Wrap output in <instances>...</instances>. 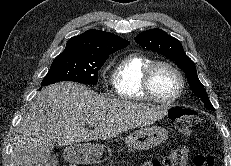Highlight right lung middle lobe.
<instances>
[{"label":"right lung middle lobe","instance_id":"obj_1","mask_svg":"<svg viewBox=\"0 0 231 166\" xmlns=\"http://www.w3.org/2000/svg\"><path fill=\"white\" fill-rule=\"evenodd\" d=\"M108 57L109 55L89 56L74 52H62L54 59L41 85H50L60 81L94 85L98 82V71Z\"/></svg>","mask_w":231,"mask_h":166}]
</instances>
